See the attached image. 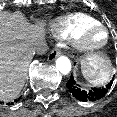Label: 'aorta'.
<instances>
[{"instance_id":"1","label":"aorta","mask_w":117,"mask_h":117,"mask_svg":"<svg viewBox=\"0 0 117 117\" xmlns=\"http://www.w3.org/2000/svg\"><path fill=\"white\" fill-rule=\"evenodd\" d=\"M56 68L62 74H68L71 70V62L66 56H60L56 60Z\"/></svg>"}]
</instances>
